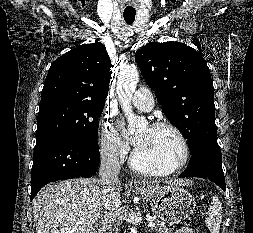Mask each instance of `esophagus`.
<instances>
[{"label":"esophagus","mask_w":253,"mask_h":233,"mask_svg":"<svg viewBox=\"0 0 253 233\" xmlns=\"http://www.w3.org/2000/svg\"><path fill=\"white\" fill-rule=\"evenodd\" d=\"M128 184H129V186H140L141 185V183L139 182V181H137V180H135V179H129L128 180Z\"/></svg>","instance_id":"1"}]
</instances>
